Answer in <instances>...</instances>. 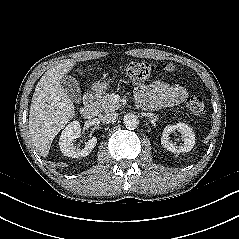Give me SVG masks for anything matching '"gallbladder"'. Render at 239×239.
Instances as JSON below:
<instances>
[{"mask_svg": "<svg viewBox=\"0 0 239 239\" xmlns=\"http://www.w3.org/2000/svg\"><path fill=\"white\" fill-rule=\"evenodd\" d=\"M61 87L73 102L80 103L81 90L78 81L74 77L65 75L61 80Z\"/></svg>", "mask_w": 239, "mask_h": 239, "instance_id": "obj_1", "label": "gallbladder"}]
</instances>
